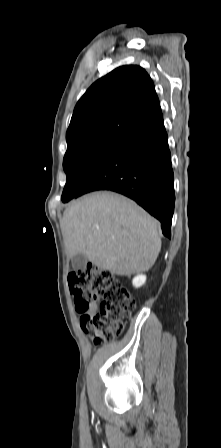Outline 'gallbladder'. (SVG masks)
Listing matches in <instances>:
<instances>
[{
    "mask_svg": "<svg viewBox=\"0 0 221 448\" xmlns=\"http://www.w3.org/2000/svg\"><path fill=\"white\" fill-rule=\"evenodd\" d=\"M72 267L75 270H83L87 263V257L84 254H76L72 257Z\"/></svg>",
    "mask_w": 221,
    "mask_h": 448,
    "instance_id": "bac80fb5",
    "label": "gallbladder"
}]
</instances>
